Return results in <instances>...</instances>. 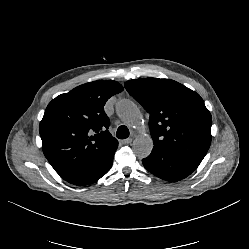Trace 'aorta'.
<instances>
[{"label":"aorta","instance_id":"762f6f07","mask_svg":"<svg viewBox=\"0 0 249 249\" xmlns=\"http://www.w3.org/2000/svg\"><path fill=\"white\" fill-rule=\"evenodd\" d=\"M116 112L128 126L142 131V115L137 105L129 99H121L116 104ZM153 149V140L150 136L139 133L133 141V152L138 158L148 157Z\"/></svg>","mask_w":249,"mask_h":249}]
</instances>
